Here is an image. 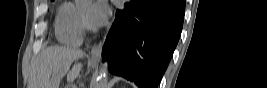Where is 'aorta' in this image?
I'll return each mask as SVG.
<instances>
[{
	"label": "aorta",
	"instance_id": "762f6f07",
	"mask_svg": "<svg viewBox=\"0 0 267 88\" xmlns=\"http://www.w3.org/2000/svg\"><path fill=\"white\" fill-rule=\"evenodd\" d=\"M78 4L81 2H89V0H75ZM108 82V63L105 62L99 69L98 76L92 84V88H105Z\"/></svg>",
	"mask_w": 267,
	"mask_h": 88
}]
</instances>
